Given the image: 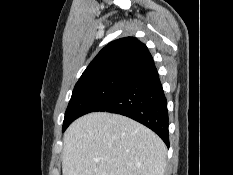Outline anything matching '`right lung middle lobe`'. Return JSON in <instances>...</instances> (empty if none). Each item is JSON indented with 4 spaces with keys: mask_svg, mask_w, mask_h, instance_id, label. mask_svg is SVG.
<instances>
[{
    "mask_svg": "<svg viewBox=\"0 0 233 175\" xmlns=\"http://www.w3.org/2000/svg\"><path fill=\"white\" fill-rule=\"evenodd\" d=\"M132 79L124 75H105L78 81L65 112L62 131L78 117L95 111L112 99Z\"/></svg>",
    "mask_w": 233,
    "mask_h": 175,
    "instance_id": "obj_1",
    "label": "right lung middle lobe"
}]
</instances>
